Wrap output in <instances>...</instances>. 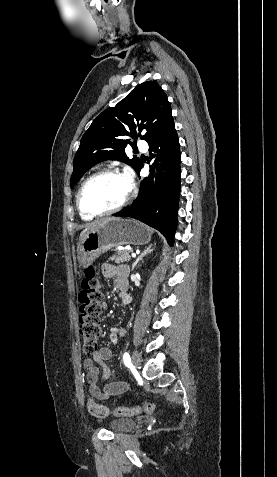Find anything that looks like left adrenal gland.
Segmentation results:
<instances>
[{"label":"left adrenal gland","mask_w":277,"mask_h":477,"mask_svg":"<svg viewBox=\"0 0 277 477\" xmlns=\"http://www.w3.org/2000/svg\"><path fill=\"white\" fill-rule=\"evenodd\" d=\"M152 251H153V249H152V244H151V245H149L148 247L145 248V250L140 254V256L137 258V260L133 263V265H132V270L135 269V267H136V265L138 264V262H139L140 260H142V258H143L144 256H146L147 254L151 253Z\"/></svg>","instance_id":"1"}]
</instances>
